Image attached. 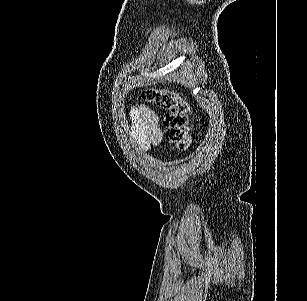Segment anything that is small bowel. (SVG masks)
I'll list each match as a JSON object with an SVG mask.
<instances>
[{"label":"small bowel","mask_w":307,"mask_h":301,"mask_svg":"<svg viewBox=\"0 0 307 301\" xmlns=\"http://www.w3.org/2000/svg\"><path fill=\"white\" fill-rule=\"evenodd\" d=\"M132 134L141 150L147 152L160 145L163 133L157 114L145 105L133 107L130 111Z\"/></svg>","instance_id":"small-bowel-1"}]
</instances>
